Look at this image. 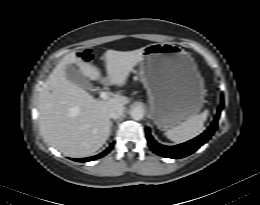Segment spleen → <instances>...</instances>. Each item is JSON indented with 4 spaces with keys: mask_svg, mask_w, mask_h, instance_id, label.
Returning <instances> with one entry per match:
<instances>
[{
    "mask_svg": "<svg viewBox=\"0 0 260 205\" xmlns=\"http://www.w3.org/2000/svg\"><path fill=\"white\" fill-rule=\"evenodd\" d=\"M209 111L190 117L188 120L180 123L165 132L168 139L175 143H183L198 136L203 131L204 122L207 120Z\"/></svg>",
    "mask_w": 260,
    "mask_h": 205,
    "instance_id": "1",
    "label": "spleen"
}]
</instances>
